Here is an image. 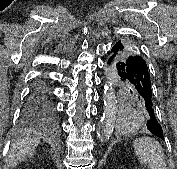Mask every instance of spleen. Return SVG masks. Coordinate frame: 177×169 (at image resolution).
<instances>
[{
    "instance_id": "obj_1",
    "label": "spleen",
    "mask_w": 177,
    "mask_h": 169,
    "mask_svg": "<svg viewBox=\"0 0 177 169\" xmlns=\"http://www.w3.org/2000/svg\"><path fill=\"white\" fill-rule=\"evenodd\" d=\"M133 147L142 164H147L150 169H167L163 148L155 139L138 138L133 141Z\"/></svg>"
}]
</instances>
